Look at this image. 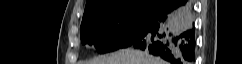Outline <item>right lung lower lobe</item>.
I'll return each instance as SVG.
<instances>
[{"label": "right lung lower lobe", "instance_id": "1", "mask_svg": "<svg viewBox=\"0 0 242 64\" xmlns=\"http://www.w3.org/2000/svg\"><path fill=\"white\" fill-rule=\"evenodd\" d=\"M130 46L170 64L195 62V30L189 0H165L155 23Z\"/></svg>", "mask_w": 242, "mask_h": 64}]
</instances>
